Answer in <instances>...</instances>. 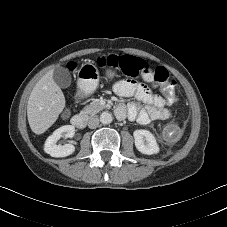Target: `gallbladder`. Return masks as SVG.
Segmentation results:
<instances>
[{
	"mask_svg": "<svg viewBox=\"0 0 227 227\" xmlns=\"http://www.w3.org/2000/svg\"><path fill=\"white\" fill-rule=\"evenodd\" d=\"M55 83L61 88H67L71 84V75L68 69L57 67L53 73Z\"/></svg>",
	"mask_w": 227,
	"mask_h": 227,
	"instance_id": "1",
	"label": "gallbladder"
}]
</instances>
